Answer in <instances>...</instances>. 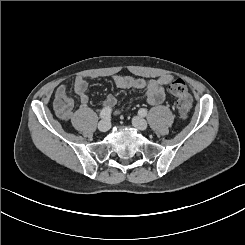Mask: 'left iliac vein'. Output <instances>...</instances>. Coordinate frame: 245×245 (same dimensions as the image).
Here are the masks:
<instances>
[{"label":"left iliac vein","mask_w":245,"mask_h":245,"mask_svg":"<svg viewBox=\"0 0 245 245\" xmlns=\"http://www.w3.org/2000/svg\"><path fill=\"white\" fill-rule=\"evenodd\" d=\"M132 123H133V125H134L137 129H139V130H141V131H145V130L147 129V126H148L146 120H144V119H143L142 117H140V116L134 117V118L132 119Z\"/></svg>","instance_id":"4c4485c4"}]
</instances>
